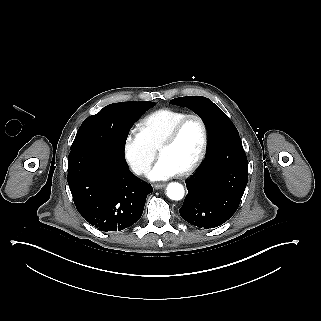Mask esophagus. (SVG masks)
Masks as SVG:
<instances>
[{"label":"esophagus","mask_w":321,"mask_h":321,"mask_svg":"<svg viewBox=\"0 0 321 321\" xmlns=\"http://www.w3.org/2000/svg\"><path fill=\"white\" fill-rule=\"evenodd\" d=\"M166 186V184L165 183H162V184H155L154 185V187L156 188V189H160V188H163V187H165Z\"/></svg>","instance_id":"obj_1"}]
</instances>
